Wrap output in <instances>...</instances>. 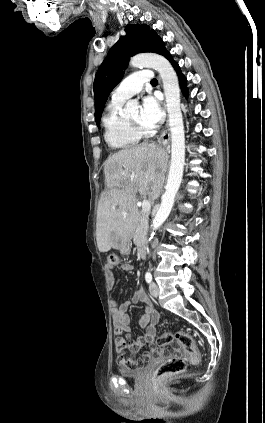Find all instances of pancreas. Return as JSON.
<instances>
[{
  "instance_id": "cf45deb5",
  "label": "pancreas",
  "mask_w": 265,
  "mask_h": 423,
  "mask_svg": "<svg viewBox=\"0 0 265 423\" xmlns=\"http://www.w3.org/2000/svg\"><path fill=\"white\" fill-rule=\"evenodd\" d=\"M148 213H142L140 216V220L136 225V228L133 232V238L135 243H142L145 239V234L148 228Z\"/></svg>"
}]
</instances>
